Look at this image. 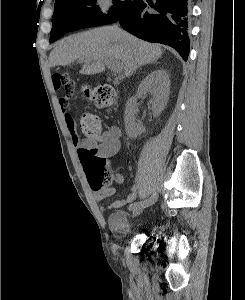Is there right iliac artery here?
I'll list each match as a JSON object with an SVG mask.
<instances>
[{"instance_id":"right-iliac-artery-1","label":"right iliac artery","mask_w":245,"mask_h":300,"mask_svg":"<svg viewBox=\"0 0 245 300\" xmlns=\"http://www.w3.org/2000/svg\"><path fill=\"white\" fill-rule=\"evenodd\" d=\"M137 205H140V202H135V203L131 204L130 208L133 209V208L136 207Z\"/></svg>"}]
</instances>
